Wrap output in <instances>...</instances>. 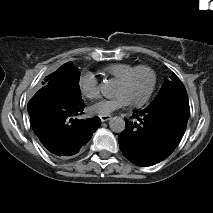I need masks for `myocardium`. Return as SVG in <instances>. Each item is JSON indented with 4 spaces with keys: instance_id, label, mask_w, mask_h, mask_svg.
Segmentation results:
<instances>
[{
    "instance_id": "1",
    "label": "myocardium",
    "mask_w": 213,
    "mask_h": 213,
    "mask_svg": "<svg viewBox=\"0 0 213 213\" xmlns=\"http://www.w3.org/2000/svg\"><path fill=\"white\" fill-rule=\"evenodd\" d=\"M141 74L147 77V85L145 89L142 92L138 93L137 95H127L130 102L135 104L143 102L151 94L156 81L155 73L148 67H138L135 70H133L129 76L125 77L122 80L118 79L120 85L126 88L130 86L131 83L137 78V76Z\"/></svg>"
}]
</instances>
